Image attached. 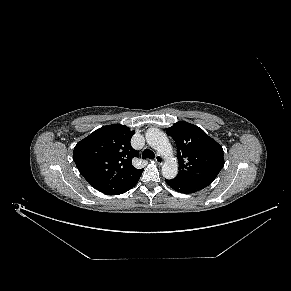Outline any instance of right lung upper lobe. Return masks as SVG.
Wrapping results in <instances>:
<instances>
[{
	"label": "right lung upper lobe",
	"instance_id": "right-lung-upper-lobe-1",
	"mask_svg": "<svg viewBox=\"0 0 291 291\" xmlns=\"http://www.w3.org/2000/svg\"><path fill=\"white\" fill-rule=\"evenodd\" d=\"M133 134L125 125H107L76 144L73 152L76 166L98 191L122 194L139 180L143 169L132 165V158L138 156L130 144Z\"/></svg>",
	"mask_w": 291,
	"mask_h": 291
}]
</instances>
